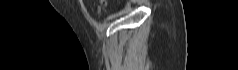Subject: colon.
Returning a JSON list of instances; mask_svg holds the SVG:
<instances>
[{
    "label": "colon",
    "instance_id": "colon-1",
    "mask_svg": "<svg viewBox=\"0 0 238 70\" xmlns=\"http://www.w3.org/2000/svg\"><path fill=\"white\" fill-rule=\"evenodd\" d=\"M102 4H105L106 2L105 1H101Z\"/></svg>",
    "mask_w": 238,
    "mask_h": 70
}]
</instances>
